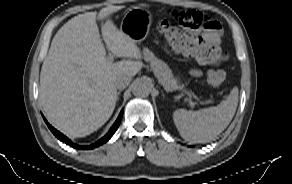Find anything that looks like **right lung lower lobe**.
I'll list each match as a JSON object with an SVG mask.
<instances>
[{
	"label": "right lung lower lobe",
	"instance_id": "obj_1",
	"mask_svg": "<svg viewBox=\"0 0 292 184\" xmlns=\"http://www.w3.org/2000/svg\"><path fill=\"white\" fill-rule=\"evenodd\" d=\"M123 116V110L120 112L117 120L115 121V123L113 124V126L111 127V129L109 130V132L100 140H98L97 142L93 143L92 145H88V146H80L77 145L75 143H73L71 140H69L65 135H63L62 133H60L59 131H57L55 128H53L44 118L47 126L49 127V129L52 131V133L62 142L66 143L67 145L73 147V148H78V149H93L96 148L102 144H104L105 142H107L112 135L115 133V131L118 129L121 119Z\"/></svg>",
	"mask_w": 292,
	"mask_h": 184
}]
</instances>
